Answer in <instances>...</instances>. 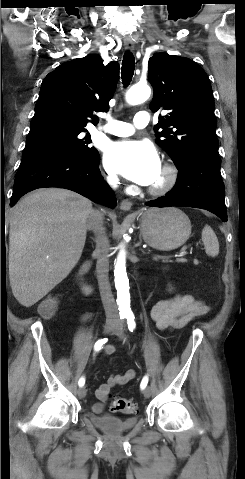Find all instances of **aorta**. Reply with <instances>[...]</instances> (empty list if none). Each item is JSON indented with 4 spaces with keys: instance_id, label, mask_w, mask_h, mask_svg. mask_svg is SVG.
Instances as JSON below:
<instances>
[{
    "instance_id": "aorta-1",
    "label": "aorta",
    "mask_w": 245,
    "mask_h": 479,
    "mask_svg": "<svg viewBox=\"0 0 245 479\" xmlns=\"http://www.w3.org/2000/svg\"><path fill=\"white\" fill-rule=\"evenodd\" d=\"M151 94V89L148 85H134L126 94V100L131 105H137L146 101ZM126 254L124 247L121 246V250L117 256L115 264V287L117 290V304L120 314H131L130 308V294H129V279L126 273Z\"/></svg>"
}]
</instances>
